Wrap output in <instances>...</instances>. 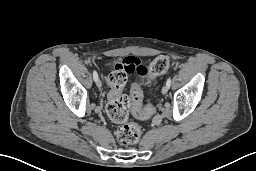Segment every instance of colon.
Returning <instances> with one entry per match:
<instances>
[{
	"label": "colon",
	"mask_w": 256,
	"mask_h": 171,
	"mask_svg": "<svg viewBox=\"0 0 256 171\" xmlns=\"http://www.w3.org/2000/svg\"><path fill=\"white\" fill-rule=\"evenodd\" d=\"M169 59L166 56L155 58L149 68L152 76L164 74L169 68ZM127 75L122 69H115L108 77V84L111 90L108 95L106 113L110 120L120 124L116 131V137L119 143L130 145L137 143L141 137V128L135 123L129 121L130 113L142 118L152 113V105L146 108L142 106V90L139 85L131 87L130 97L122 93Z\"/></svg>",
	"instance_id": "obj_1"
}]
</instances>
